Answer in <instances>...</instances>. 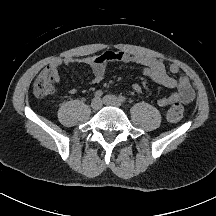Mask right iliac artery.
<instances>
[{"instance_id":"obj_1","label":"right iliac artery","mask_w":216,"mask_h":216,"mask_svg":"<svg viewBox=\"0 0 216 216\" xmlns=\"http://www.w3.org/2000/svg\"><path fill=\"white\" fill-rule=\"evenodd\" d=\"M102 95H103V92L101 90L96 91L94 94L95 98H100Z\"/></svg>"}]
</instances>
